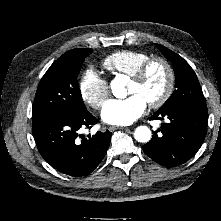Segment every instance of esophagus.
<instances>
[{"label":"esophagus","instance_id":"esophagus-1","mask_svg":"<svg viewBox=\"0 0 221 221\" xmlns=\"http://www.w3.org/2000/svg\"><path fill=\"white\" fill-rule=\"evenodd\" d=\"M109 131L113 132L115 130H119V129H127L125 127H119V126H110L109 128Z\"/></svg>","mask_w":221,"mask_h":221}]
</instances>
